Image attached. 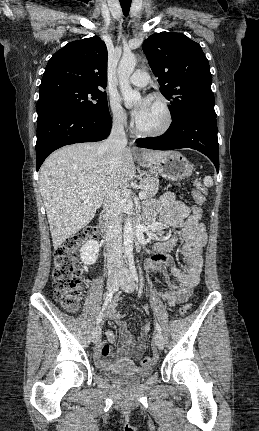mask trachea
Here are the masks:
<instances>
[{"label": "trachea", "instance_id": "trachea-1", "mask_svg": "<svg viewBox=\"0 0 259 431\" xmlns=\"http://www.w3.org/2000/svg\"><path fill=\"white\" fill-rule=\"evenodd\" d=\"M120 5L122 7L125 16H128L131 7V0H120Z\"/></svg>", "mask_w": 259, "mask_h": 431}]
</instances>
